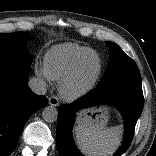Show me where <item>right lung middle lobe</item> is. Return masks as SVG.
<instances>
[{
    "instance_id": "1",
    "label": "right lung middle lobe",
    "mask_w": 156,
    "mask_h": 156,
    "mask_svg": "<svg viewBox=\"0 0 156 156\" xmlns=\"http://www.w3.org/2000/svg\"><path fill=\"white\" fill-rule=\"evenodd\" d=\"M28 35L23 32L0 33V61L8 60L31 65L32 58L26 50Z\"/></svg>"
}]
</instances>
